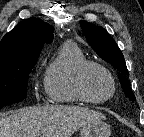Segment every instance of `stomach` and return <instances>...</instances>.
<instances>
[{"instance_id": "0dacf381", "label": "stomach", "mask_w": 144, "mask_h": 137, "mask_svg": "<svg viewBox=\"0 0 144 137\" xmlns=\"http://www.w3.org/2000/svg\"><path fill=\"white\" fill-rule=\"evenodd\" d=\"M111 130L104 121L89 123L80 128V137H110Z\"/></svg>"}]
</instances>
